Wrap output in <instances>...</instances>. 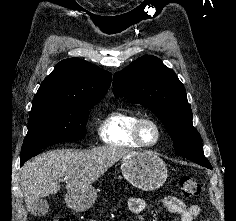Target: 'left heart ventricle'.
Returning <instances> with one entry per match:
<instances>
[{
    "instance_id": "left-heart-ventricle-1",
    "label": "left heart ventricle",
    "mask_w": 236,
    "mask_h": 221,
    "mask_svg": "<svg viewBox=\"0 0 236 221\" xmlns=\"http://www.w3.org/2000/svg\"><path fill=\"white\" fill-rule=\"evenodd\" d=\"M142 137L146 142H153L156 138V131L150 124H145L142 128Z\"/></svg>"
}]
</instances>
